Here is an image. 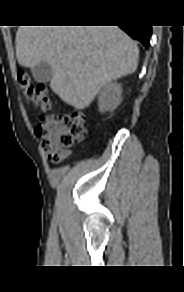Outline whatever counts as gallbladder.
I'll return each instance as SVG.
<instances>
[{
	"instance_id": "1",
	"label": "gallbladder",
	"mask_w": 184,
	"mask_h": 292,
	"mask_svg": "<svg viewBox=\"0 0 184 292\" xmlns=\"http://www.w3.org/2000/svg\"><path fill=\"white\" fill-rule=\"evenodd\" d=\"M31 73L36 82L47 83L52 78L53 69L47 63H40L35 67L31 68Z\"/></svg>"
}]
</instances>
